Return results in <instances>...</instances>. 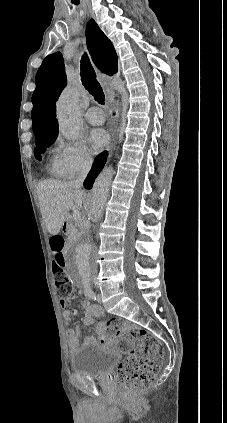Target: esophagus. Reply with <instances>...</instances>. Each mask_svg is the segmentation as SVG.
<instances>
[{"label":"esophagus","instance_id":"obj_1","mask_svg":"<svg viewBox=\"0 0 227 423\" xmlns=\"http://www.w3.org/2000/svg\"><path fill=\"white\" fill-rule=\"evenodd\" d=\"M105 79H108L107 76H104ZM111 98H110V108H109V116L110 118H118L119 116V104L118 101L115 98L114 92H110ZM114 123L113 121L111 122Z\"/></svg>","mask_w":227,"mask_h":423}]
</instances>
